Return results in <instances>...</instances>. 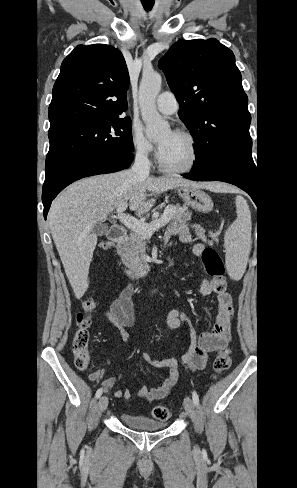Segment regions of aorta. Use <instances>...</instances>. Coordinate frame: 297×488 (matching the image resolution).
Here are the masks:
<instances>
[{
    "label": "aorta",
    "instance_id": "762f6f07",
    "mask_svg": "<svg viewBox=\"0 0 297 488\" xmlns=\"http://www.w3.org/2000/svg\"><path fill=\"white\" fill-rule=\"evenodd\" d=\"M162 78L154 71L144 72L139 88V104L146 133L154 137L165 131L169 124L156 109V96L161 90Z\"/></svg>",
    "mask_w": 297,
    "mask_h": 488
}]
</instances>
